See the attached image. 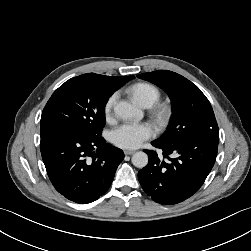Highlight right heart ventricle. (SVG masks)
Segmentation results:
<instances>
[{"instance_id":"1","label":"right heart ventricle","mask_w":251,"mask_h":251,"mask_svg":"<svg viewBox=\"0 0 251 251\" xmlns=\"http://www.w3.org/2000/svg\"><path fill=\"white\" fill-rule=\"evenodd\" d=\"M129 91L133 98L144 107L153 106L161 96L159 89L155 85L146 82L131 86Z\"/></svg>"}]
</instances>
